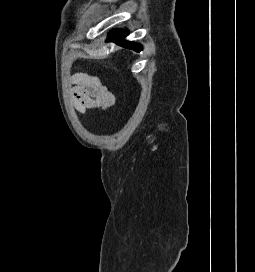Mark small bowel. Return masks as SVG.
Instances as JSON below:
<instances>
[{
  "label": "small bowel",
  "mask_w": 255,
  "mask_h": 272,
  "mask_svg": "<svg viewBox=\"0 0 255 272\" xmlns=\"http://www.w3.org/2000/svg\"><path fill=\"white\" fill-rule=\"evenodd\" d=\"M74 106L81 113L90 109H108L114 104V95L98 77L75 73L71 78Z\"/></svg>",
  "instance_id": "1"
}]
</instances>
